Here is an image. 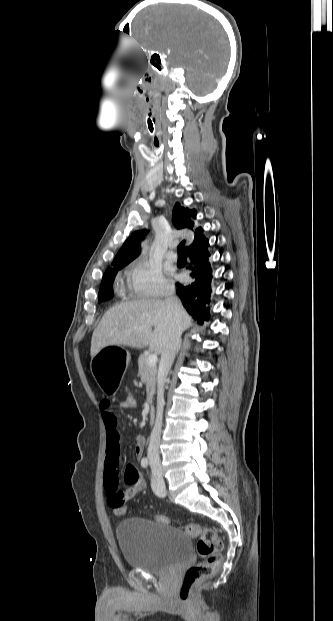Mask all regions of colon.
I'll list each match as a JSON object with an SVG mask.
<instances>
[{
    "label": "colon",
    "instance_id": "1",
    "mask_svg": "<svg viewBox=\"0 0 333 621\" xmlns=\"http://www.w3.org/2000/svg\"><path fill=\"white\" fill-rule=\"evenodd\" d=\"M126 410H134L138 407V398L133 392L126 393L120 403ZM115 514L123 515L126 511L125 505H117L114 509ZM156 521L168 524L169 519L163 515H157ZM186 534L197 539V551L204 560L186 571L183 582L179 590V599L182 603H187L193 585L204 578L215 574L222 562L221 550L223 544L216 532L208 527H203L196 523H189L184 528Z\"/></svg>",
    "mask_w": 333,
    "mask_h": 621
}]
</instances>
